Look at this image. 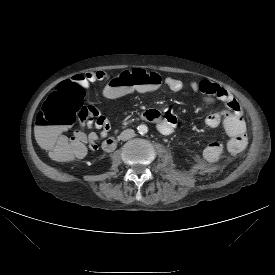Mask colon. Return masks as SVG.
Masks as SVG:
<instances>
[{
  "mask_svg": "<svg viewBox=\"0 0 275 275\" xmlns=\"http://www.w3.org/2000/svg\"><path fill=\"white\" fill-rule=\"evenodd\" d=\"M162 88L163 81L157 72L136 70L104 81L101 92L109 99H117L120 96L132 99L136 96L156 94ZM85 94V88L78 82H61L37 114V140L54 159L68 158L80 149L79 141L69 139L63 132L76 122L84 124L93 113V107L86 106L83 102Z\"/></svg>",
  "mask_w": 275,
  "mask_h": 275,
  "instance_id": "5ec220e1",
  "label": "colon"
}]
</instances>
